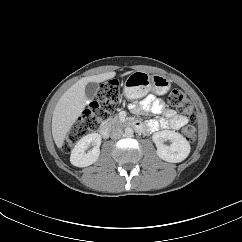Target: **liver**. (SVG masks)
Masks as SVG:
<instances>
[{"label": "liver", "mask_w": 242, "mask_h": 242, "mask_svg": "<svg viewBox=\"0 0 242 242\" xmlns=\"http://www.w3.org/2000/svg\"><path fill=\"white\" fill-rule=\"evenodd\" d=\"M131 72H126L128 75ZM114 71L84 77L72 85L59 99L52 117V135L58 148H62L67 133L82 115L86 106L85 87L88 83H100L115 77Z\"/></svg>", "instance_id": "1"}]
</instances>
